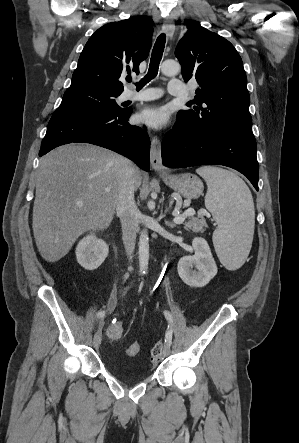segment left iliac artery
Listing matches in <instances>:
<instances>
[{
  "label": "left iliac artery",
  "mask_w": 299,
  "mask_h": 443,
  "mask_svg": "<svg viewBox=\"0 0 299 443\" xmlns=\"http://www.w3.org/2000/svg\"><path fill=\"white\" fill-rule=\"evenodd\" d=\"M164 316L166 317V319L169 321V326H168V330L166 331V335H165V342L169 343L171 345L172 343V332H173V319H172V315L170 312L168 311H164Z\"/></svg>",
  "instance_id": "44dca946"
}]
</instances>
